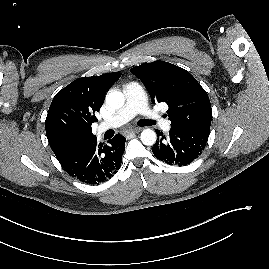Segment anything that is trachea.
Listing matches in <instances>:
<instances>
[{
  "label": "trachea",
  "instance_id": "1",
  "mask_svg": "<svg viewBox=\"0 0 269 269\" xmlns=\"http://www.w3.org/2000/svg\"><path fill=\"white\" fill-rule=\"evenodd\" d=\"M139 124L141 126H151V125H154L155 123L151 120L143 119L139 121Z\"/></svg>",
  "mask_w": 269,
  "mask_h": 269
}]
</instances>
